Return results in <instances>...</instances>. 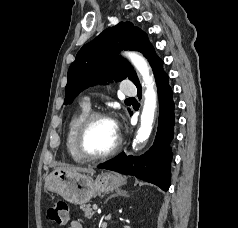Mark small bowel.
<instances>
[{
    "mask_svg": "<svg viewBox=\"0 0 238 228\" xmlns=\"http://www.w3.org/2000/svg\"><path fill=\"white\" fill-rule=\"evenodd\" d=\"M69 228H83L82 224L77 221V220H73L71 223H70V226Z\"/></svg>",
    "mask_w": 238,
    "mask_h": 228,
    "instance_id": "obj_1",
    "label": "small bowel"
}]
</instances>
